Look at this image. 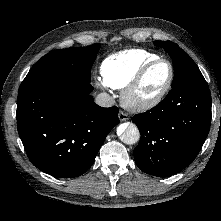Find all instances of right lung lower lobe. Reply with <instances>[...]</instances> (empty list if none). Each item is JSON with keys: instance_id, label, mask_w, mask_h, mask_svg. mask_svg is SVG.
I'll return each instance as SVG.
<instances>
[{"instance_id": "1", "label": "right lung lower lobe", "mask_w": 221, "mask_h": 221, "mask_svg": "<svg viewBox=\"0 0 221 221\" xmlns=\"http://www.w3.org/2000/svg\"><path fill=\"white\" fill-rule=\"evenodd\" d=\"M90 83L51 84L19 91L17 125L32 164L50 175L73 178L93 164L120 121L118 108L98 106Z\"/></svg>"}]
</instances>
